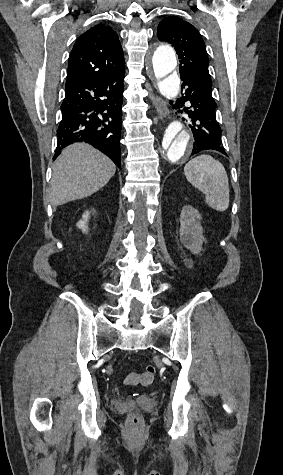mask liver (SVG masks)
I'll list each match as a JSON object with an SVG mask.
<instances>
[{
	"label": "liver",
	"instance_id": "liver-1",
	"mask_svg": "<svg viewBox=\"0 0 283 475\" xmlns=\"http://www.w3.org/2000/svg\"><path fill=\"white\" fill-rule=\"evenodd\" d=\"M116 166L105 154L89 144H72L62 150L54 162L51 180V204L62 206L87 198L106 186Z\"/></svg>",
	"mask_w": 283,
	"mask_h": 475
}]
</instances>
